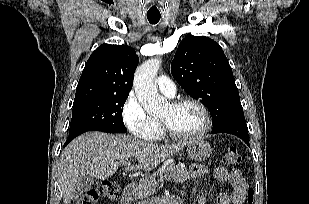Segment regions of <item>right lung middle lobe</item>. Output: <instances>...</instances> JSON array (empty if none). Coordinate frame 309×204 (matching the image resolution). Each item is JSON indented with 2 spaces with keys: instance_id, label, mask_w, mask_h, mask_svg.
<instances>
[{
  "instance_id": "right-lung-middle-lobe-1",
  "label": "right lung middle lobe",
  "mask_w": 309,
  "mask_h": 204,
  "mask_svg": "<svg viewBox=\"0 0 309 204\" xmlns=\"http://www.w3.org/2000/svg\"><path fill=\"white\" fill-rule=\"evenodd\" d=\"M128 95H108L73 104L69 136L86 131L127 132L122 110Z\"/></svg>"
}]
</instances>
